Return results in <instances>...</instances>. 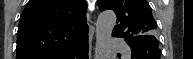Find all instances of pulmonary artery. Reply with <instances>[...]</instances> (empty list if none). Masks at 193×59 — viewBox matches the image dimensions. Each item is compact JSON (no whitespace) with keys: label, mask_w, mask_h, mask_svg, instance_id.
<instances>
[{"label":"pulmonary artery","mask_w":193,"mask_h":59,"mask_svg":"<svg viewBox=\"0 0 193 59\" xmlns=\"http://www.w3.org/2000/svg\"><path fill=\"white\" fill-rule=\"evenodd\" d=\"M111 43L114 46H120V47L125 45L124 42L117 37H113ZM125 53H129V51L125 50Z\"/></svg>","instance_id":"obj_1"}]
</instances>
